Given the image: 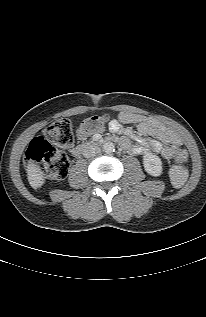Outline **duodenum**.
<instances>
[{
  "instance_id": "obj_1",
  "label": "duodenum",
  "mask_w": 206,
  "mask_h": 317,
  "mask_svg": "<svg viewBox=\"0 0 206 317\" xmlns=\"http://www.w3.org/2000/svg\"><path fill=\"white\" fill-rule=\"evenodd\" d=\"M116 141H119L121 144H122V140H119V139H117V138H115V137H109V138H101V139H99V138H96V139H94V140H92V141H89V142H86V143H82V144H79V145H77L76 147H74L73 149H72V155L74 156V157H79V156H81L83 153H85V152H87L88 150H90V149H92V148H94L97 144H101V145H106L107 144V142H116Z\"/></svg>"
}]
</instances>
